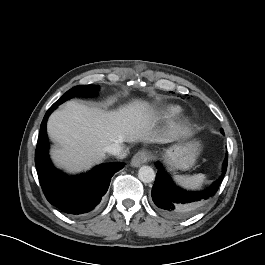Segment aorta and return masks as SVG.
<instances>
[{"mask_svg":"<svg viewBox=\"0 0 265 265\" xmlns=\"http://www.w3.org/2000/svg\"><path fill=\"white\" fill-rule=\"evenodd\" d=\"M138 178L144 183H151L155 180V172L152 167L144 165L138 171Z\"/></svg>","mask_w":265,"mask_h":265,"instance_id":"1","label":"aorta"}]
</instances>
